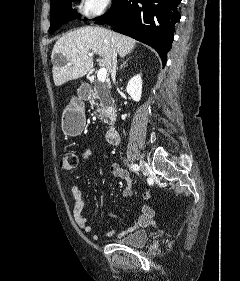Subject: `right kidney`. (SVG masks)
I'll use <instances>...</instances> for the list:
<instances>
[{
    "instance_id": "right-kidney-1",
    "label": "right kidney",
    "mask_w": 240,
    "mask_h": 281,
    "mask_svg": "<svg viewBox=\"0 0 240 281\" xmlns=\"http://www.w3.org/2000/svg\"><path fill=\"white\" fill-rule=\"evenodd\" d=\"M126 91L134 101H140L142 94V78L140 74L135 75L129 80Z\"/></svg>"
}]
</instances>
